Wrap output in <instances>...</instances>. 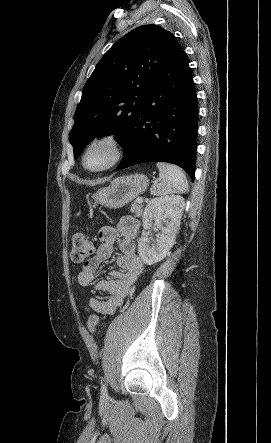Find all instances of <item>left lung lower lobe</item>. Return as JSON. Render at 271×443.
Instances as JSON below:
<instances>
[{
  "instance_id": "left-lung-lower-lobe-1",
  "label": "left lung lower lobe",
  "mask_w": 271,
  "mask_h": 443,
  "mask_svg": "<svg viewBox=\"0 0 271 443\" xmlns=\"http://www.w3.org/2000/svg\"><path fill=\"white\" fill-rule=\"evenodd\" d=\"M188 63L179 46L152 79L144 112L117 170L168 162L183 168L194 180L198 104Z\"/></svg>"
}]
</instances>
